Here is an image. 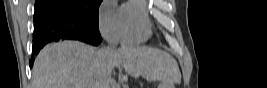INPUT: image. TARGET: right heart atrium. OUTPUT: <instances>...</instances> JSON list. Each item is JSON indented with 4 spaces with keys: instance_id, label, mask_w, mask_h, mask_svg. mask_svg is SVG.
Returning <instances> with one entry per match:
<instances>
[{
    "instance_id": "right-heart-atrium-1",
    "label": "right heart atrium",
    "mask_w": 267,
    "mask_h": 88,
    "mask_svg": "<svg viewBox=\"0 0 267 88\" xmlns=\"http://www.w3.org/2000/svg\"><path fill=\"white\" fill-rule=\"evenodd\" d=\"M98 27L110 45L118 44L122 40L121 8L111 1L103 2L99 10Z\"/></svg>"
}]
</instances>
